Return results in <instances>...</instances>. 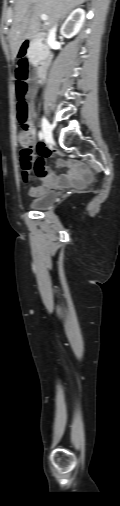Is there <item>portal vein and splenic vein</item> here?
I'll use <instances>...</instances> for the list:
<instances>
[{
  "label": "portal vein and splenic vein",
  "instance_id": "obj_1",
  "mask_svg": "<svg viewBox=\"0 0 120 506\" xmlns=\"http://www.w3.org/2000/svg\"><path fill=\"white\" fill-rule=\"evenodd\" d=\"M48 19L47 15H41V20L46 21Z\"/></svg>",
  "mask_w": 120,
  "mask_h": 506
}]
</instances>
